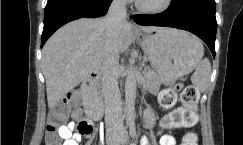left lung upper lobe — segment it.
Here are the masks:
<instances>
[{"label": "left lung upper lobe", "mask_w": 243, "mask_h": 145, "mask_svg": "<svg viewBox=\"0 0 243 145\" xmlns=\"http://www.w3.org/2000/svg\"><path fill=\"white\" fill-rule=\"evenodd\" d=\"M171 5L193 13H215V0H171Z\"/></svg>", "instance_id": "obj_1"}]
</instances>
